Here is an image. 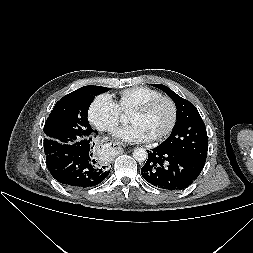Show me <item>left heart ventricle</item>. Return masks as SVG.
Masks as SVG:
<instances>
[{"mask_svg": "<svg viewBox=\"0 0 253 253\" xmlns=\"http://www.w3.org/2000/svg\"><path fill=\"white\" fill-rule=\"evenodd\" d=\"M172 117L171 107L167 102H160L143 114H131L130 122L141 125L155 138L165 131Z\"/></svg>", "mask_w": 253, "mask_h": 253, "instance_id": "left-heart-ventricle-1", "label": "left heart ventricle"}]
</instances>
